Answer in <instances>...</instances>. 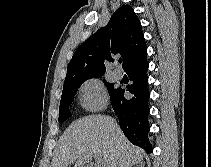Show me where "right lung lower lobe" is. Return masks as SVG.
<instances>
[{"mask_svg":"<svg viewBox=\"0 0 211 167\" xmlns=\"http://www.w3.org/2000/svg\"><path fill=\"white\" fill-rule=\"evenodd\" d=\"M148 62L146 56L130 65L125 71L132 81L127 86L131 98L124 96L125 89L118 88L110 98L114 112L118 115L119 124L129 141L147 152H152L153 148L148 139L150 129L148 116V100L150 92L148 89Z\"/></svg>","mask_w":211,"mask_h":167,"instance_id":"obj_1","label":"right lung lower lobe"}]
</instances>
